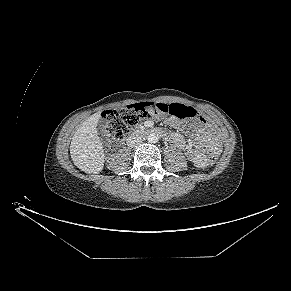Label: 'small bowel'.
Instances as JSON below:
<instances>
[{"instance_id": "obj_1", "label": "small bowel", "mask_w": 291, "mask_h": 291, "mask_svg": "<svg viewBox=\"0 0 291 291\" xmlns=\"http://www.w3.org/2000/svg\"><path fill=\"white\" fill-rule=\"evenodd\" d=\"M166 123L176 129L189 128L196 132L198 136L197 145L191 144L183 135L175 132H163L165 137L183 150L187 158L198 168L207 166L206 152L219 153L221 151V143L218 135L215 133L212 125H210L202 117L196 122L182 121L176 117H167ZM146 126L153 125V121H146Z\"/></svg>"}]
</instances>
